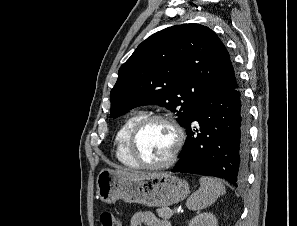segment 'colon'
Listing matches in <instances>:
<instances>
[{"mask_svg":"<svg viewBox=\"0 0 297 226\" xmlns=\"http://www.w3.org/2000/svg\"><path fill=\"white\" fill-rule=\"evenodd\" d=\"M101 226H120L119 221L111 210H104L100 214Z\"/></svg>","mask_w":297,"mask_h":226,"instance_id":"obj_1","label":"colon"}]
</instances>
